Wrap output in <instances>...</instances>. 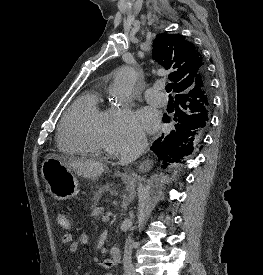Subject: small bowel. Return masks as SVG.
<instances>
[{
    "mask_svg": "<svg viewBox=\"0 0 263 275\" xmlns=\"http://www.w3.org/2000/svg\"><path fill=\"white\" fill-rule=\"evenodd\" d=\"M90 241V238L87 234L82 233L79 235L78 239L75 240L73 238V235L68 233L67 235H63L62 242L63 244L68 246L70 253H76L79 250V247L88 245ZM87 275V274H84ZM103 275H113L112 272L106 271L103 273Z\"/></svg>",
    "mask_w": 263,
    "mask_h": 275,
    "instance_id": "1",
    "label": "small bowel"
}]
</instances>
